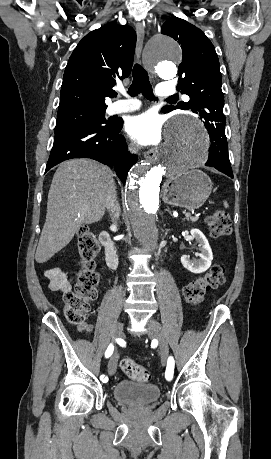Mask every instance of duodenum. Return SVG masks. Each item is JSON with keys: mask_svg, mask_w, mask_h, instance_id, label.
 Listing matches in <instances>:
<instances>
[{"mask_svg": "<svg viewBox=\"0 0 271 459\" xmlns=\"http://www.w3.org/2000/svg\"><path fill=\"white\" fill-rule=\"evenodd\" d=\"M99 240L104 247L105 260L111 269H116L118 258L115 250V245L108 231L103 230L99 235Z\"/></svg>", "mask_w": 271, "mask_h": 459, "instance_id": "1", "label": "duodenum"}]
</instances>
